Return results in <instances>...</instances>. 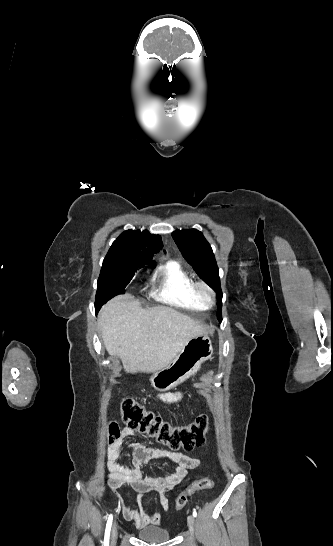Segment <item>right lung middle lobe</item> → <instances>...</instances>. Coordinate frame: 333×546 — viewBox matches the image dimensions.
I'll use <instances>...</instances> for the list:
<instances>
[{
	"instance_id": "obj_1",
	"label": "right lung middle lobe",
	"mask_w": 333,
	"mask_h": 546,
	"mask_svg": "<svg viewBox=\"0 0 333 546\" xmlns=\"http://www.w3.org/2000/svg\"><path fill=\"white\" fill-rule=\"evenodd\" d=\"M136 271L119 260L104 259L97 282L95 306L98 309L112 297L123 294Z\"/></svg>"
}]
</instances>
